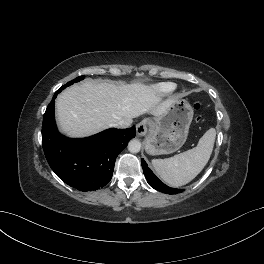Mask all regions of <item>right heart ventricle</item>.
<instances>
[{"mask_svg":"<svg viewBox=\"0 0 264 264\" xmlns=\"http://www.w3.org/2000/svg\"><path fill=\"white\" fill-rule=\"evenodd\" d=\"M175 85L170 82L156 84L153 89L156 93L166 96L171 94L175 90Z\"/></svg>","mask_w":264,"mask_h":264,"instance_id":"1","label":"right heart ventricle"}]
</instances>
